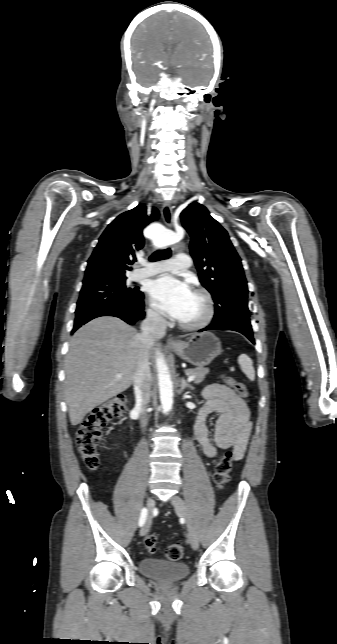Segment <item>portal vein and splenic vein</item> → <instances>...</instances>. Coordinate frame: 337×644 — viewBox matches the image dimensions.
I'll return each instance as SVG.
<instances>
[{
  "label": "portal vein and splenic vein",
  "instance_id": "portal-vein-and-splenic-vein-1",
  "mask_svg": "<svg viewBox=\"0 0 337 644\" xmlns=\"http://www.w3.org/2000/svg\"><path fill=\"white\" fill-rule=\"evenodd\" d=\"M116 377H117V378H121V377H122V375L118 374V375H116ZM195 378H196V376H195V375H192V376H189L187 380H188L189 382H191V381H193Z\"/></svg>",
  "mask_w": 337,
  "mask_h": 644
}]
</instances>
